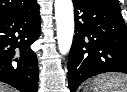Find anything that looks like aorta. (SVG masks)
<instances>
[{
  "mask_svg": "<svg viewBox=\"0 0 127 92\" xmlns=\"http://www.w3.org/2000/svg\"><path fill=\"white\" fill-rule=\"evenodd\" d=\"M58 48L66 55L71 48L74 35V11L72 0H55Z\"/></svg>",
  "mask_w": 127,
  "mask_h": 92,
  "instance_id": "aorta-1",
  "label": "aorta"
}]
</instances>
